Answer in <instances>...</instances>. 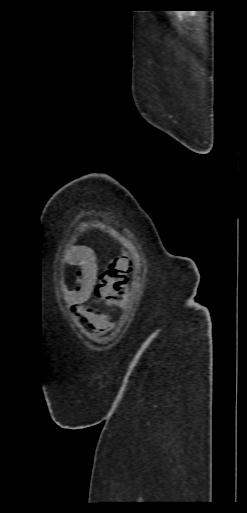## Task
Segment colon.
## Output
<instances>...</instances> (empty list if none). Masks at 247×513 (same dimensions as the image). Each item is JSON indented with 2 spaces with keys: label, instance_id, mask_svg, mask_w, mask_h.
Segmentation results:
<instances>
[{
  "label": "colon",
  "instance_id": "5ec220e1",
  "mask_svg": "<svg viewBox=\"0 0 247 513\" xmlns=\"http://www.w3.org/2000/svg\"><path fill=\"white\" fill-rule=\"evenodd\" d=\"M131 260L127 256L114 258L97 278L94 293L111 305H118L126 290Z\"/></svg>",
  "mask_w": 247,
  "mask_h": 513
}]
</instances>
